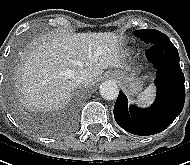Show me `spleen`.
<instances>
[{"instance_id": "spleen-1", "label": "spleen", "mask_w": 190, "mask_h": 165, "mask_svg": "<svg viewBox=\"0 0 190 165\" xmlns=\"http://www.w3.org/2000/svg\"><path fill=\"white\" fill-rule=\"evenodd\" d=\"M153 96H154V88L153 86L150 85L138 95V102L143 105L149 104L152 101Z\"/></svg>"}]
</instances>
